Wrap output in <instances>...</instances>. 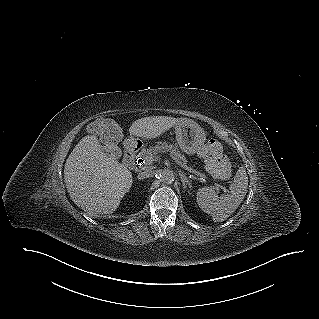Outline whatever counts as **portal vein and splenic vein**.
Returning a JSON list of instances; mask_svg holds the SVG:
<instances>
[{
  "mask_svg": "<svg viewBox=\"0 0 319 319\" xmlns=\"http://www.w3.org/2000/svg\"><path fill=\"white\" fill-rule=\"evenodd\" d=\"M169 157L171 159H173L178 165H180L182 168H184L185 170L197 175V179L200 180L201 182H206V179L204 176H201L197 171L192 170L191 168H189L188 166H186L185 164H183L177 157L173 156L172 154H169ZM154 158H150L149 162H153ZM216 185V190L219 191L220 190V185L219 184H215Z\"/></svg>",
  "mask_w": 319,
  "mask_h": 319,
  "instance_id": "portal-vein-and-splenic-vein-1",
  "label": "portal vein and splenic vein"
}]
</instances>
